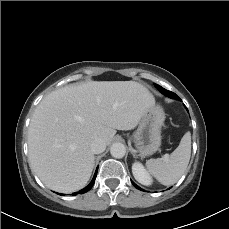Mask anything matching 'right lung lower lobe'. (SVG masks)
<instances>
[{"mask_svg": "<svg viewBox=\"0 0 229 229\" xmlns=\"http://www.w3.org/2000/svg\"><path fill=\"white\" fill-rule=\"evenodd\" d=\"M97 170H98V169H97ZM97 170H96V172H95V175H94V177H93L91 183H90L87 187H85L84 189L80 190L78 193L83 194V193L89 191V190L92 188V186H93V184H94V182H95V179H96ZM76 194H77V193H73L72 195H76ZM61 195H62V194H61Z\"/></svg>", "mask_w": 229, "mask_h": 229, "instance_id": "right-lung-lower-lobe-1", "label": "right lung lower lobe"}]
</instances>
